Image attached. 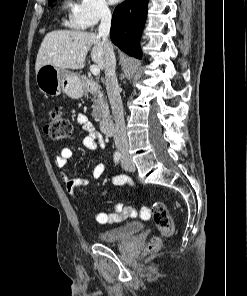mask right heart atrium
<instances>
[{"mask_svg": "<svg viewBox=\"0 0 247 296\" xmlns=\"http://www.w3.org/2000/svg\"><path fill=\"white\" fill-rule=\"evenodd\" d=\"M110 16L111 10L106 0H77L70 19L76 26L90 29Z\"/></svg>", "mask_w": 247, "mask_h": 296, "instance_id": "d8ad5b80", "label": "right heart atrium"}]
</instances>
